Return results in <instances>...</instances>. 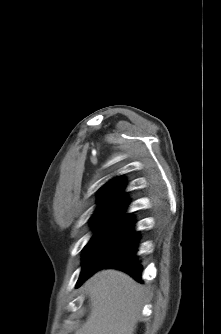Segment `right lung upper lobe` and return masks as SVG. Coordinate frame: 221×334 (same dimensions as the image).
<instances>
[{"label": "right lung upper lobe", "instance_id": "cb5924a9", "mask_svg": "<svg viewBox=\"0 0 221 334\" xmlns=\"http://www.w3.org/2000/svg\"><path fill=\"white\" fill-rule=\"evenodd\" d=\"M124 183L120 177L114 178L106 183L102 189L99 201L101 205L93 214L94 217L105 216H131L132 214H124L127 198L123 193Z\"/></svg>", "mask_w": 221, "mask_h": 334}]
</instances>
